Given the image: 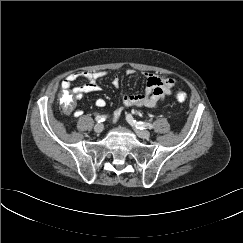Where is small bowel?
Segmentation results:
<instances>
[{"mask_svg": "<svg viewBox=\"0 0 243 243\" xmlns=\"http://www.w3.org/2000/svg\"><path fill=\"white\" fill-rule=\"evenodd\" d=\"M132 72L129 71L128 74ZM106 75L105 72L95 71V72H80L77 74H71L65 78L61 87L63 92H71L75 100H80L84 94L90 92H98L101 90L99 85V80ZM79 78H83L87 81L85 85L73 87V82ZM146 78V89L143 94L139 95H124L121 99L122 107L119 108L114 113V119L117 120L123 109L126 107H145V108H155L160 102H162L166 96H169L174 87L177 84V81L174 78L153 74L145 73ZM114 87H120V79L115 76L112 80ZM97 107H104L106 102L103 98H99L95 102ZM77 115H80V112H76Z\"/></svg>", "mask_w": 243, "mask_h": 243, "instance_id": "1", "label": "small bowel"}]
</instances>
